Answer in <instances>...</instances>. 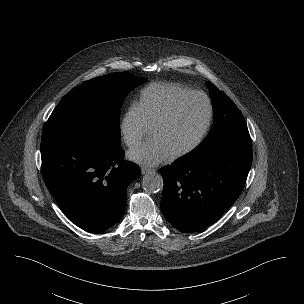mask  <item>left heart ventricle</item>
<instances>
[{
    "mask_svg": "<svg viewBox=\"0 0 304 304\" xmlns=\"http://www.w3.org/2000/svg\"><path fill=\"white\" fill-rule=\"evenodd\" d=\"M207 117L204 99L194 97L183 102L173 117L157 128L153 138L160 140L174 154L190 145L201 132Z\"/></svg>",
    "mask_w": 304,
    "mask_h": 304,
    "instance_id": "obj_1",
    "label": "left heart ventricle"
}]
</instances>
